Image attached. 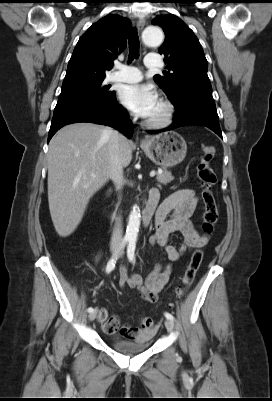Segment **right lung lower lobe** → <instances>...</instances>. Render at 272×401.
I'll return each instance as SVG.
<instances>
[{
	"instance_id": "1",
	"label": "right lung lower lobe",
	"mask_w": 272,
	"mask_h": 401,
	"mask_svg": "<svg viewBox=\"0 0 272 401\" xmlns=\"http://www.w3.org/2000/svg\"><path fill=\"white\" fill-rule=\"evenodd\" d=\"M78 122L108 125L118 129L128 138H131L133 134V125L127 117L126 110L115 97L105 105L82 104L54 112L48 142L61 127Z\"/></svg>"
}]
</instances>
